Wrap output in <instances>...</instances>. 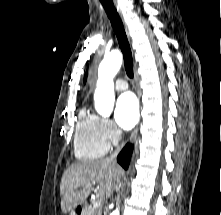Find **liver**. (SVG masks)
I'll list each match as a JSON object with an SVG mask.
<instances>
[{"label": "liver", "instance_id": "1", "mask_svg": "<svg viewBox=\"0 0 221 215\" xmlns=\"http://www.w3.org/2000/svg\"><path fill=\"white\" fill-rule=\"evenodd\" d=\"M122 168L107 159L72 164L63 174L60 184L63 213L81 205L87 199L94 183L99 184V195L110 197L117 187ZM91 184V186H88ZM80 187L83 189L78 190Z\"/></svg>", "mask_w": 221, "mask_h": 215}]
</instances>
